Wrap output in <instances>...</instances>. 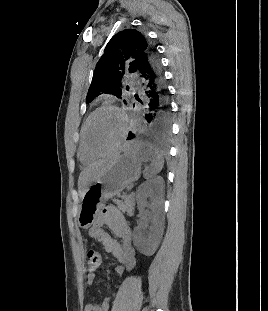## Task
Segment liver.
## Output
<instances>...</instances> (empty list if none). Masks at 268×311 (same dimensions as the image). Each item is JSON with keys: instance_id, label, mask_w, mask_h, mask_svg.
<instances>
[{"instance_id": "obj_1", "label": "liver", "mask_w": 268, "mask_h": 311, "mask_svg": "<svg viewBox=\"0 0 268 311\" xmlns=\"http://www.w3.org/2000/svg\"><path fill=\"white\" fill-rule=\"evenodd\" d=\"M113 159L114 158L97 161L81 172L79 176V188L82 189V195L89 183L96 180L106 170Z\"/></svg>"}]
</instances>
